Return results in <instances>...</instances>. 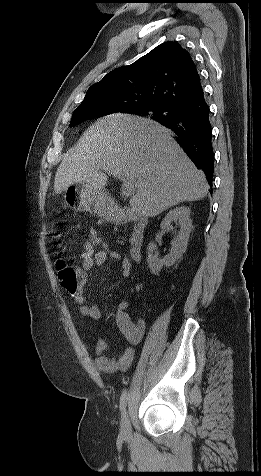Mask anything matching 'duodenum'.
<instances>
[{
	"mask_svg": "<svg viewBox=\"0 0 261 476\" xmlns=\"http://www.w3.org/2000/svg\"><path fill=\"white\" fill-rule=\"evenodd\" d=\"M112 220L117 224L133 223V234L130 242V256L139 262L142 259L145 233L148 221L145 217L133 214L125 209H118L112 215Z\"/></svg>",
	"mask_w": 261,
	"mask_h": 476,
	"instance_id": "duodenum-1",
	"label": "duodenum"
}]
</instances>
